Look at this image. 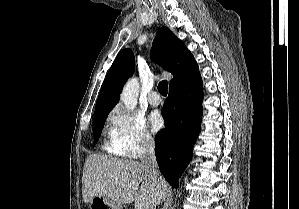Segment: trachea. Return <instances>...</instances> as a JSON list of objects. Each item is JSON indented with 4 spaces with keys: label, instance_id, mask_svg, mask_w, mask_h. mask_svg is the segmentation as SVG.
Wrapping results in <instances>:
<instances>
[{
    "label": "trachea",
    "instance_id": "obj_1",
    "mask_svg": "<svg viewBox=\"0 0 299 209\" xmlns=\"http://www.w3.org/2000/svg\"><path fill=\"white\" fill-rule=\"evenodd\" d=\"M158 91L161 95L166 96L168 93V83L166 80H162L158 85Z\"/></svg>",
    "mask_w": 299,
    "mask_h": 209
}]
</instances>
